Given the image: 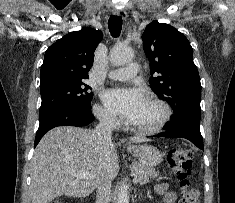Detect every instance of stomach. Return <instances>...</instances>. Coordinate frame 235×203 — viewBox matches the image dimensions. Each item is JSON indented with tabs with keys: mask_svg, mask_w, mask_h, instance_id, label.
Wrapping results in <instances>:
<instances>
[{
	"mask_svg": "<svg viewBox=\"0 0 235 203\" xmlns=\"http://www.w3.org/2000/svg\"><path fill=\"white\" fill-rule=\"evenodd\" d=\"M127 150L134 155L143 166L153 167L163 160L162 152L152 145L129 146Z\"/></svg>",
	"mask_w": 235,
	"mask_h": 203,
	"instance_id": "0dacf381",
	"label": "stomach"
}]
</instances>
